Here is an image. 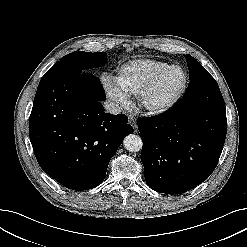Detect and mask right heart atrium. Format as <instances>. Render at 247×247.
<instances>
[{"instance_id":"d8ad5b80","label":"right heart atrium","mask_w":247,"mask_h":247,"mask_svg":"<svg viewBox=\"0 0 247 247\" xmlns=\"http://www.w3.org/2000/svg\"><path fill=\"white\" fill-rule=\"evenodd\" d=\"M102 86L106 94L114 100L118 106L126 107L129 103L128 97L123 93L114 81L110 78H102Z\"/></svg>"}]
</instances>
